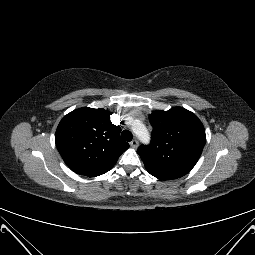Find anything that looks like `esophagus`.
<instances>
[{
  "label": "esophagus",
  "instance_id": "esophagus-1",
  "mask_svg": "<svg viewBox=\"0 0 255 255\" xmlns=\"http://www.w3.org/2000/svg\"><path fill=\"white\" fill-rule=\"evenodd\" d=\"M138 140L137 139H133L131 142H130V146L132 148H137L138 147Z\"/></svg>",
  "mask_w": 255,
  "mask_h": 255
}]
</instances>
